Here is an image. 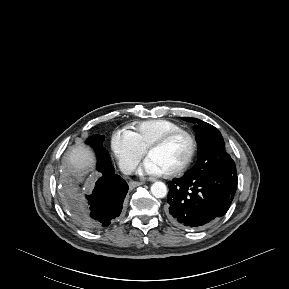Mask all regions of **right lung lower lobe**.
Returning <instances> with one entry per match:
<instances>
[{"label": "right lung lower lobe", "instance_id": "98d812e1", "mask_svg": "<svg viewBox=\"0 0 289 289\" xmlns=\"http://www.w3.org/2000/svg\"><path fill=\"white\" fill-rule=\"evenodd\" d=\"M98 157L97 170L102 177L90 195H87V204L77 205L81 223L87 228H105L121 215L123 202L128 191V185L124 179L115 174L109 155L96 151Z\"/></svg>", "mask_w": 289, "mask_h": 289}]
</instances>
